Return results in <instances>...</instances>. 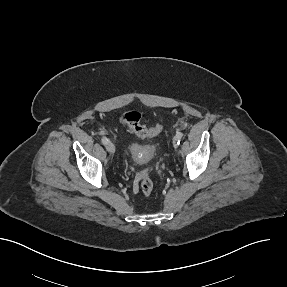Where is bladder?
<instances>
[{
	"instance_id": "bladder-1",
	"label": "bladder",
	"mask_w": 287,
	"mask_h": 287,
	"mask_svg": "<svg viewBox=\"0 0 287 287\" xmlns=\"http://www.w3.org/2000/svg\"><path fill=\"white\" fill-rule=\"evenodd\" d=\"M129 151L133 162L138 165L150 163L155 155V149L152 146H139L133 144Z\"/></svg>"
}]
</instances>
